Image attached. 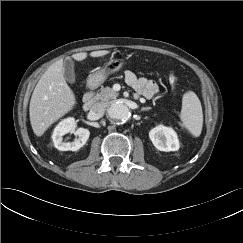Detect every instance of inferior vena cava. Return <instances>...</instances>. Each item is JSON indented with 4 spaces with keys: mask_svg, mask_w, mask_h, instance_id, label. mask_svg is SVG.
Masks as SVG:
<instances>
[{
    "mask_svg": "<svg viewBox=\"0 0 243 243\" xmlns=\"http://www.w3.org/2000/svg\"><path fill=\"white\" fill-rule=\"evenodd\" d=\"M90 113L94 118H101L105 113V105L103 103H95L92 106Z\"/></svg>",
    "mask_w": 243,
    "mask_h": 243,
    "instance_id": "inferior-vena-cava-1",
    "label": "inferior vena cava"
}]
</instances>
